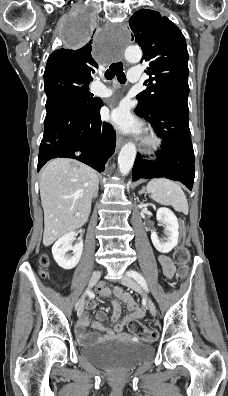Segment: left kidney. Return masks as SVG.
<instances>
[{
    "mask_svg": "<svg viewBox=\"0 0 228 396\" xmlns=\"http://www.w3.org/2000/svg\"><path fill=\"white\" fill-rule=\"evenodd\" d=\"M157 220L164 225L167 238H160L156 232L151 233L154 247L161 253H169L178 243V220L175 214L168 208L162 207L157 210Z\"/></svg>",
    "mask_w": 228,
    "mask_h": 396,
    "instance_id": "left-kidney-1",
    "label": "left kidney"
}]
</instances>
